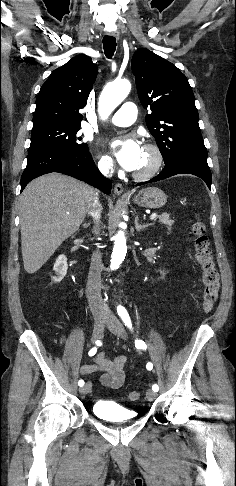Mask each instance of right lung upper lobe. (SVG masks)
Listing matches in <instances>:
<instances>
[{"label":"right lung upper lobe","mask_w":236,"mask_h":486,"mask_svg":"<svg viewBox=\"0 0 236 486\" xmlns=\"http://www.w3.org/2000/svg\"><path fill=\"white\" fill-rule=\"evenodd\" d=\"M96 75V65L83 54L55 69L37 96L33 126L81 125L83 116L79 109L85 107Z\"/></svg>","instance_id":"1"}]
</instances>
